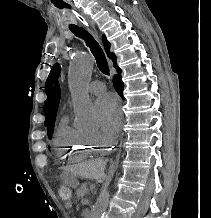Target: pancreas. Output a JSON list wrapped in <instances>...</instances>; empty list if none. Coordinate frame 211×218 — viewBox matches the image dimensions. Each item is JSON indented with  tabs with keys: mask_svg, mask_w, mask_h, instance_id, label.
Returning <instances> with one entry per match:
<instances>
[{
	"mask_svg": "<svg viewBox=\"0 0 211 218\" xmlns=\"http://www.w3.org/2000/svg\"><path fill=\"white\" fill-rule=\"evenodd\" d=\"M88 186H79V190H75V195H88Z\"/></svg>",
	"mask_w": 211,
	"mask_h": 218,
	"instance_id": "pancreas-1",
	"label": "pancreas"
}]
</instances>
